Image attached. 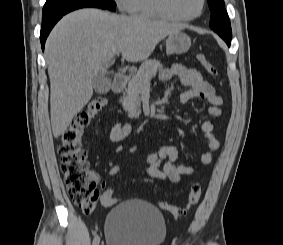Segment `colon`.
I'll return each mask as SVG.
<instances>
[{"label":"colon","instance_id":"colon-1","mask_svg":"<svg viewBox=\"0 0 283 245\" xmlns=\"http://www.w3.org/2000/svg\"><path fill=\"white\" fill-rule=\"evenodd\" d=\"M197 59L210 75L217 76L216 68L204 55L198 54ZM106 104L107 101L103 97L93 99L85 110L77 114L62 134L61 143L58 147L60 168L64 175L68 195L74 204L87 213L93 211L98 202L105 207H111L117 203L114 190L111 187L104 188L102 192L98 189L95 180L88 172L86 152L81 144L86 128ZM201 197V185L194 183L190 188L188 200L184 207L166 201L159 202V206L173 217L179 218L196 205Z\"/></svg>","mask_w":283,"mask_h":245}]
</instances>
